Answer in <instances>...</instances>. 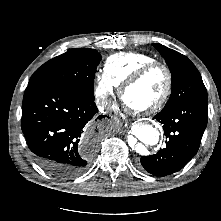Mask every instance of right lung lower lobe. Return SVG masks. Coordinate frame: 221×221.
Wrapping results in <instances>:
<instances>
[{"label": "right lung lower lobe", "instance_id": "1", "mask_svg": "<svg viewBox=\"0 0 221 221\" xmlns=\"http://www.w3.org/2000/svg\"><path fill=\"white\" fill-rule=\"evenodd\" d=\"M22 108V131L36 162L57 178L82 174L94 154V140L92 151L81 147L83 129L104 118L94 100L37 81L26 88Z\"/></svg>", "mask_w": 221, "mask_h": 221}]
</instances>
